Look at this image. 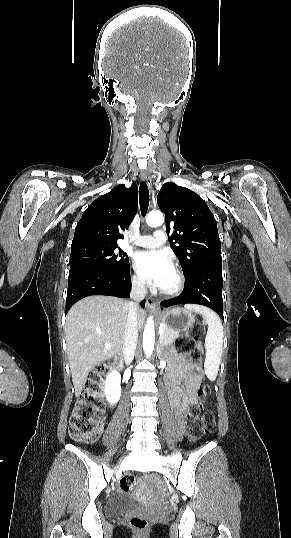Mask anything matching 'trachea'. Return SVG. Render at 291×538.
<instances>
[{"mask_svg": "<svg viewBox=\"0 0 291 538\" xmlns=\"http://www.w3.org/2000/svg\"><path fill=\"white\" fill-rule=\"evenodd\" d=\"M139 203L142 216L146 215L149 206V190L145 182H141L139 187Z\"/></svg>", "mask_w": 291, "mask_h": 538, "instance_id": "obj_1", "label": "trachea"}]
</instances>
